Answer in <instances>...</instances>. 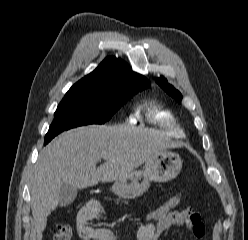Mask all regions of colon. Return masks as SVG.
I'll return each instance as SVG.
<instances>
[{
  "mask_svg": "<svg viewBox=\"0 0 248 240\" xmlns=\"http://www.w3.org/2000/svg\"><path fill=\"white\" fill-rule=\"evenodd\" d=\"M181 202L180 196H172L165 201L154 207L142 218V223L150 220H157L165 217L170 212L174 211ZM73 226L69 223L58 224L55 230V234L52 240H72Z\"/></svg>",
  "mask_w": 248,
  "mask_h": 240,
  "instance_id": "5ec220e1",
  "label": "colon"
}]
</instances>
